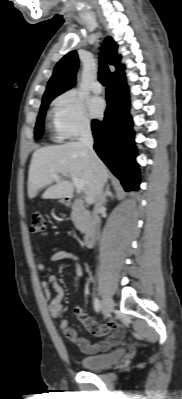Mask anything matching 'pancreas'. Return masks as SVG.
Here are the masks:
<instances>
[{"mask_svg":"<svg viewBox=\"0 0 182 399\" xmlns=\"http://www.w3.org/2000/svg\"><path fill=\"white\" fill-rule=\"evenodd\" d=\"M71 219L74 222L76 228L84 233L86 230V221L76 209L72 211Z\"/></svg>","mask_w":182,"mask_h":399,"instance_id":"cf45deb5","label":"pancreas"}]
</instances>
